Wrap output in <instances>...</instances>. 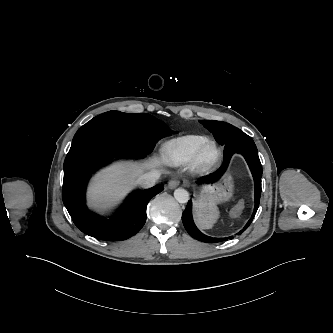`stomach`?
<instances>
[{"mask_svg":"<svg viewBox=\"0 0 333 333\" xmlns=\"http://www.w3.org/2000/svg\"><path fill=\"white\" fill-rule=\"evenodd\" d=\"M233 178L229 172L219 180L205 185L197 194L194 213L201 228H209L219 217L218 204L229 201L233 195Z\"/></svg>","mask_w":333,"mask_h":333,"instance_id":"1","label":"stomach"}]
</instances>
